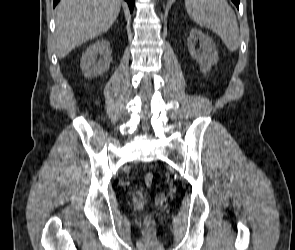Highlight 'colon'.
Wrapping results in <instances>:
<instances>
[{
	"instance_id": "colon-1",
	"label": "colon",
	"mask_w": 295,
	"mask_h": 250,
	"mask_svg": "<svg viewBox=\"0 0 295 250\" xmlns=\"http://www.w3.org/2000/svg\"><path fill=\"white\" fill-rule=\"evenodd\" d=\"M154 178L155 177H154L153 173H151V172L147 173L145 175V177H144V182H145L146 186H151L153 184V182H154ZM147 222L149 224H151L152 223V218L148 217Z\"/></svg>"
}]
</instances>
